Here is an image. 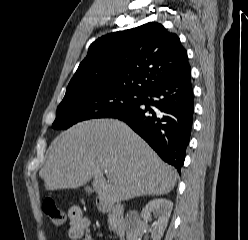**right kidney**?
Returning <instances> with one entry per match:
<instances>
[{"label":"right kidney","mask_w":248,"mask_h":240,"mask_svg":"<svg viewBox=\"0 0 248 240\" xmlns=\"http://www.w3.org/2000/svg\"><path fill=\"white\" fill-rule=\"evenodd\" d=\"M173 203L165 198H158L149 201L141 212L142 222L140 225L132 223L127 230V240H141V236L147 229L148 222L152 220V214L157 219L152 224V240H161L167 227Z\"/></svg>","instance_id":"obj_1"}]
</instances>
